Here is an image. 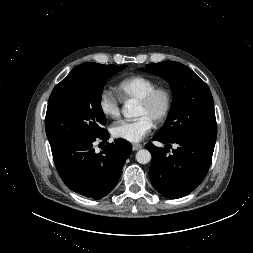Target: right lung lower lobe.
<instances>
[{
  "mask_svg": "<svg viewBox=\"0 0 253 253\" xmlns=\"http://www.w3.org/2000/svg\"><path fill=\"white\" fill-rule=\"evenodd\" d=\"M108 138L105 130L98 137L73 139L51 146L56 169L72 191L101 199L115 187L132 146L124 139H116L107 143L101 153H96L93 143L98 139L106 142Z\"/></svg>",
  "mask_w": 253,
  "mask_h": 253,
  "instance_id": "1",
  "label": "right lung lower lobe"
}]
</instances>
